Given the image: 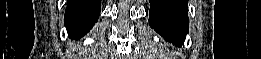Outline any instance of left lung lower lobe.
Segmentation results:
<instances>
[{
	"instance_id": "obj_1",
	"label": "left lung lower lobe",
	"mask_w": 261,
	"mask_h": 59,
	"mask_svg": "<svg viewBox=\"0 0 261 59\" xmlns=\"http://www.w3.org/2000/svg\"><path fill=\"white\" fill-rule=\"evenodd\" d=\"M149 25L167 41L182 44L188 33L187 0H149Z\"/></svg>"
}]
</instances>
